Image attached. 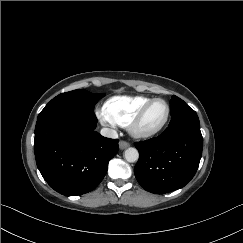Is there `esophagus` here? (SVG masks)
<instances>
[{
    "instance_id": "34e87169",
    "label": "esophagus",
    "mask_w": 243,
    "mask_h": 243,
    "mask_svg": "<svg viewBox=\"0 0 243 243\" xmlns=\"http://www.w3.org/2000/svg\"><path fill=\"white\" fill-rule=\"evenodd\" d=\"M130 146V144L128 143V142H126V141H120L119 142V148L121 149V150H123V149H125V148H127V147H129Z\"/></svg>"
}]
</instances>
